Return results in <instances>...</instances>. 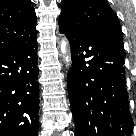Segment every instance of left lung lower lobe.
I'll use <instances>...</instances> for the list:
<instances>
[{"label": "left lung lower lobe", "mask_w": 136, "mask_h": 136, "mask_svg": "<svg viewBox=\"0 0 136 136\" xmlns=\"http://www.w3.org/2000/svg\"><path fill=\"white\" fill-rule=\"evenodd\" d=\"M72 67L68 94L76 136H130L123 42L110 32L68 29Z\"/></svg>", "instance_id": "0a47b994"}]
</instances>
